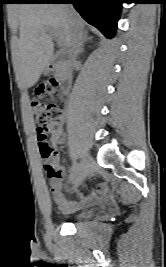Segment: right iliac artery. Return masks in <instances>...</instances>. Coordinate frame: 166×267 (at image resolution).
<instances>
[{
    "label": "right iliac artery",
    "mask_w": 166,
    "mask_h": 267,
    "mask_svg": "<svg viewBox=\"0 0 166 267\" xmlns=\"http://www.w3.org/2000/svg\"><path fill=\"white\" fill-rule=\"evenodd\" d=\"M80 170V164L78 162H74L71 168V175L69 177L70 181H72L73 179H75V177L77 176L78 172Z\"/></svg>",
    "instance_id": "1"
}]
</instances>
